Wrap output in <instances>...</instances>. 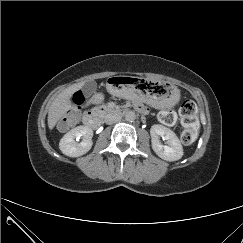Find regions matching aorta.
Returning a JSON list of instances; mask_svg holds the SVG:
<instances>
[{"label": "aorta", "mask_w": 243, "mask_h": 243, "mask_svg": "<svg viewBox=\"0 0 243 243\" xmlns=\"http://www.w3.org/2000/svg\"><path fill=\"white\" fill-rule=\"evenodd\" d=\"M136 119V114L133 111H128L125 113V120L128 122H133Z\"/></svg>", "instance_id": "obj_1"}]
</instances>
